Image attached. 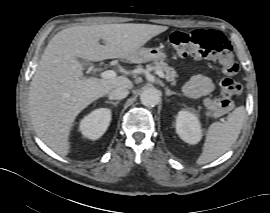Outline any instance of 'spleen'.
I'll return each instance as SVG.
<instances>
[{"mask_svg":"<svg viewBox=\"0 0 270 213\" xmlns=\"http://www.w3.org/2000/svg\"><path fill=\"white\" fill-rule=\"evenodd\" d=\"M245 116V108L240 106L228 115L226 122L212 123L208 128L203 151L197 159V164L209 163L227 152L237 140Z\"/></svg>","mask_w":270,"mask_h":213,"instance_id":"spleen-1","label":"spleen"}]
</instances>
